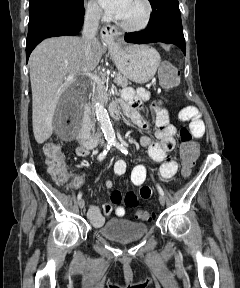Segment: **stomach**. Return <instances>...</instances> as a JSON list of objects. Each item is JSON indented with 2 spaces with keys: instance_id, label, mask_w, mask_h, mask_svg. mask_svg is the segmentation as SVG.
<instances>
[{
  "instance_id": "1",
  "label": "stomach",
  "mask_w": 240,
  "mask_h": 288,
  "mask_svg": "<svg viewBox=\"0 0 240 288\" xmlns=\"http://www.w3.org/2000/svg\"><path fill=\"white\" fill-rule=\"evenodd\" d=\"M109 53L119 70L135 83L151 80L160 64L159 53L148 45H126L118 40L109 46Z\"/></svg>"
}]
</instances>
